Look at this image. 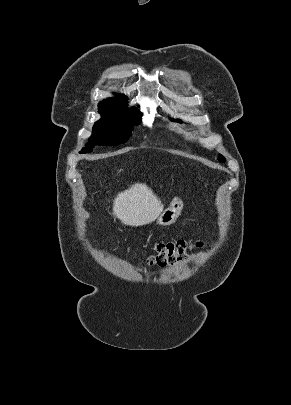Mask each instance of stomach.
<instances>
[{"mask_svg": "<svg viewBox=\"0 0 291 405\" xmlns=\"http://www.w3.org/2000/svg\"><path fill=\"white\" fill-rule=\"evenodd\" d=\"M183 206V201L180 198L175 197L170 206L161 213L157 223L162 226L173 224L180 216Z\"/></svg>", "mask_w": 291, "mask_h": 405, "instance_id": "0dacf381", "label": "stomach"}]
</instances>
